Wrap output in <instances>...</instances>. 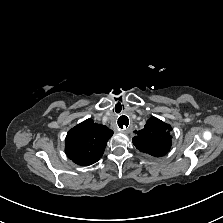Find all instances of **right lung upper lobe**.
<instances>
[{"label": "right lung upper lobe", "mask_w": 223, "mask_h": 223, "mask_svg": "<svg viewBox=\"0 0 223 223\" xmlns=\"http://www.w3.org/2000/svg\"><path fill=\"white\" fill-rule=\"evenodd\" d=\"M113 131L87 119L72 128L65 139V152L74 163L82 166L97 162L103 155Z\"/></svg>", "instance_id": "cb5924a9"}]
</instances>
